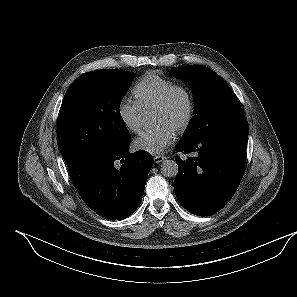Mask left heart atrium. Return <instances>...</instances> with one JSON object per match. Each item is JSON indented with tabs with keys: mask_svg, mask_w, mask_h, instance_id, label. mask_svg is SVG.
Instances as JSON below:
<instances>
[{
	"mask_svg": "<svg viewBox=\"0 0 297 297\" xmlns=\"http://www.w3.org/2000/svg\"><path fill=\"white\" fill-rule=\"evenodd\" d=\"M175 129L167 123H160L157 126L146 129L134 139V146L151 154H160L173 143Z\"/></svg>",
	"mask_w": 297,
	"mask_h": 297,
	"instance_id": "39dd6f15",
	"label": "left heart atrium"
}]
</instances>
